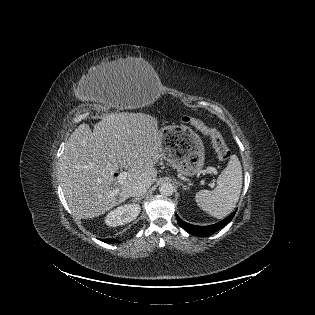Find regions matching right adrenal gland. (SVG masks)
Here are the masks:
<instances>
[{"label":"right adrenal gland","instance_id":"right-adrenal-gland-1","mask_svg":"<svg viewBox=\"0 0 315 315\" xmlns=\"http://www.w3.org/2000/svg\"><path fill=\"white\" fill-rule=\"evenodd\" d=\"M141 199H143V197H137V198H134L133 200H132V202H138V203H140V200Z\"/></svg>","mask_w":315,"mask_h":315}]
</instances>
